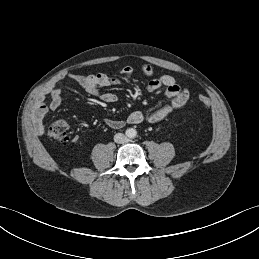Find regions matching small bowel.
<instances>
[{"mask_svg": "<svg viewBox=\"0 0 259 259\" xmlns=\"http://www.w3.org/2000/svg\"><path fill=\"white\" fill-rule=\"evenodd\" d=\"M134 69L131 66L122 68L124 75H130ZM140 72L146 77H153L155 74L151 66H142ZM64 78H68L80 85L88 94L97 96L107 103H114L118 100V96L112 92H102L103 87L120 84L121 80L115 76L106 73H96L89 75L80 74H65ZM161 88L165 89V95L169 101L160 108L144 113L142 111L132 112L126 120L106 119L105 124L114 129L123 127L126 123L138 124L143 121L149 123H157L172 114L174 111L183 107L189 99V91L180 87L175 79L167 74L152 78L148 84L147 89L151 92L157 91ZM50 101L47 104L44 102V94L39 96V100L35 105L32 113V125L36 134L42 135L45 133L44 118L49 110H56L62 102L63 91L60 87H53L47 91Z\"/></svg>", "mask_w": 259, "mask_h": 259, "instance_id": "1", "label": "small bowel"}]
</instances>
